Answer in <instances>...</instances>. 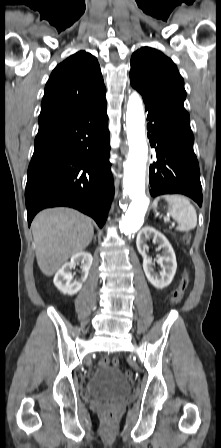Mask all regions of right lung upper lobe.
Instances as JSON below:
<instances>
[{"instance_id": "cb5924a9", "label": "right lung upper lobe", "mask_w": 221, "mask_h": 448, "mask_svg": "<svg viewBox=\"0 0 221 448\" xmlns=\"http://www.w3.org/2000/svg\"><path fill=\"white\" fill-rule=\"evenodd\" d=\"M106 88L97 59L79 51L56 66L45 86L38 118L47 128L105 99Z\"/></svg>"}]
</instances>
